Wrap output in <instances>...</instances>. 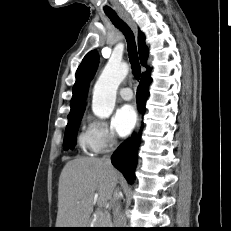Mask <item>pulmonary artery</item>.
Returning a JSON list of instances; mask_svg holds the SVG:
<instances>
[{
  "mask_svg": "<svg viewBox=\"0 0 231 231\" xmlns=\"http://www.w3.org/2000/svg\"><path fill=\"white\" fill-rule=\"evenodd\" d=\"M119 94H120L121 98L124 100H131L133 97V92H132L131 88H129V87L121 88L119 90Z\"/></svg>",
  "mask_w": 231,
  "mask_h": 231,
  "instance_id": "obj_1",
  "label": "pulmonary artery"
}]
</instances>
